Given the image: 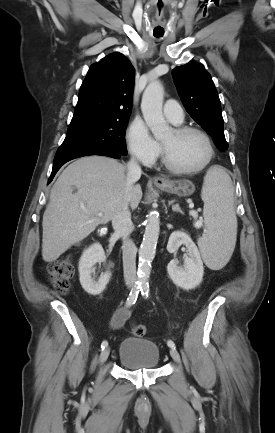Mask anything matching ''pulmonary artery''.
<instances>
[{"mask_svg": "<svg viewBox=\"0 0 275 433\" xmlns=\"http://www.w3.org/2000/svg\"><path fill=\"white\" fill-rule=\"evenodd\" d=\"M164 115L172 123H181L184 119L182 106L174 100H167L163 107Z\"/></svg>", "mask_w": 275, "mask_h": 433, "instance_id": "obj_1", "label": "pulmonary artery"}]
</instances>
